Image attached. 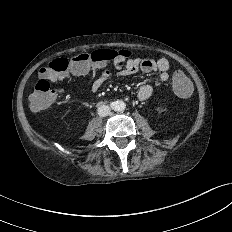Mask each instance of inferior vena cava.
Instances as JSON below:
<instances>
[{
    "label": "inferior vena cava",
    "mask_w": 232,
    "mask_h": 232,
    "mask_svg": "<svg viewBox=\"0 0 232 232\" xmlns=\"http://www.w3.org/2000/svg\"><path fill=\"white\" fill-rule=\"evenodd\" d=\"M98 115L101 116V117H105V116H108L110 114V107L108 105H100L98 107Z\"/></svg>",
    "instance_id": "obj_1"
}]
</instances>
